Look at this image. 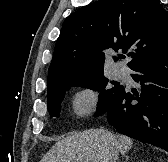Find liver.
I'll return each mask as SVG.
<instances>
[{
    "instance_id": "liver-1",
    "label": "liver",
    "mask_w": 168,
    "mask_h": 162,
    "mask_svg": "<svg viewBox=\"0 0 168 162\" xmlns=\"http://www.w3.org/2000/svg\"><path fill=\"white\" fill-rule=\"evenodd\" d=\"M132 145V139L124 135L89 129L58 141L40 162H111L113 148L125 154Z\"/></svg>"
}]
</instances>
